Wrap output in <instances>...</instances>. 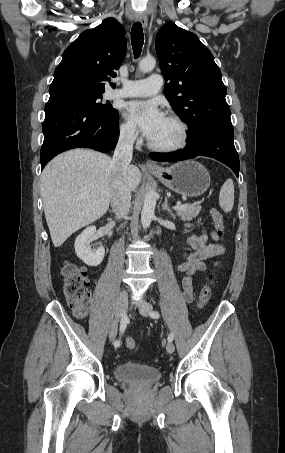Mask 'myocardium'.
I'll return each instance as SVG.
<instances>
[{
	"label": "myocardium",
	"mask_w": 285,
	"mask_h": 453,
	"mask_svg": "<svg viewBox=\"0 0 285 453\" xmlns=\"http://www.w3.org/2000/svg\"><path fill=\"white\" fill-rule=\"evenodd\" d=\"M166 117L170 119L171 121L175 122L178 127L180 128V139L177 143L173 145H158L153 143L150 139L148 140V146L150 149L158 152H165V153H171V152H177L182 149H184L190 139V131H189V126L188 124L177 114L175 113H167Z\"/></svg>",
	"instance_id": "1"
}]
</instances>
